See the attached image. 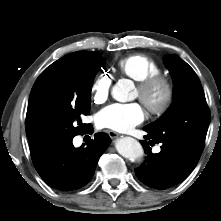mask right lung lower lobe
<instances>
[{"mask_svg":"<svg viewBox=\"0 0 221 221\" xmlns=\"http://www.w3.org/2000/svg\"><path fill=\"white\" fill-rule=\"evenodd\" d=\"M87 129L93 132L90 124ZM110 141L106 133L100 132L85 148H75L70 140L31 148V157L38 174L49 186L63 191L75 190L91 180Z\"/></svg>","mask_w":221,"mask_h":221,"instance_id":"right-lung-lower-lobe-1","label":"right lung lower lobe"}]
</instances>
